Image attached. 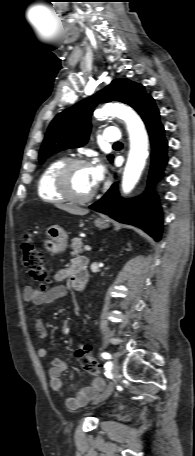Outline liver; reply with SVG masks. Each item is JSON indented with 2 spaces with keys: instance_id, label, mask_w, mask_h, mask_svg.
Returning a JSON list of instances; mask_svg holds the SVG:
<instances>
[{
  "instance_id": "6515ba94",
  "label": "liver",
  "mask_w": 195,
  "mask_h": 456,
  "mask_svg": "<svg viewBox=\"0 0 195 456\" xmlns=\"http://www.w3.org/2000/svg\"><path fill=\"white\" fill-rule=\"evenodd\" d=\"M55 206L61 210H64V211H66L70 214H74V215H86L89 212L87 209H83L78 206H74V205H70V204L57 203V204H55Z\"/></svg>"
}]
</instances>
